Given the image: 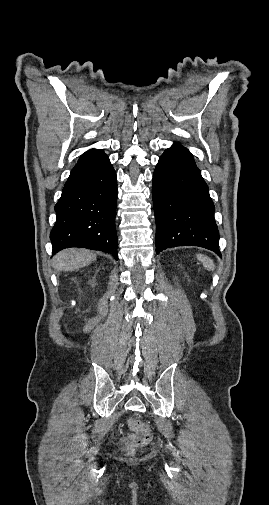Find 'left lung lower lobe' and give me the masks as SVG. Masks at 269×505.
Segmentation results:
<instances>
[{
  "instance_id": "obj_1",
  "label": "left lung lower lobe",
  "mask_w": 269,
  "mask_h": 505,
  "mask_svg": "<svg viewBox=\"0 0 269 505\" xmlns=\"http://www.w3.org/2000/svg\"><path fill=\"white\" fill-rule=\"evenodd\" d=\"M156 253L199 246L221 256L214 204L191 153L179 144L165 150L153 175Z\"/></svg>"
}]
</instances>
